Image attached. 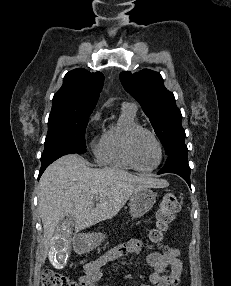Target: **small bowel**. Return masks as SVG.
<instances>
[{
	"instance_id": "c3829d8e",
	"label": "small bowel",
	"mask_w": 231,
	"mask_h": 286,
	"mask_svg": "<svg viewBox=\"0 0 231 286\" xmlns=\"http://www.w3.org/2000/svg\"><path fill=\"white\" fill-rule=\"evenodd\" d=\"M143 249V242L134 238L108 251L98 259L83 265V275L80 277V286H93L103 277V267L110 261L138 253ZM148 265L153 269L150 274V284L140 286H177L180 282L183 264L180 260V251L167 245H160L159 250L147 255ZM170 268V273L165 271Z\"/></svg>"
}]
</instances>
